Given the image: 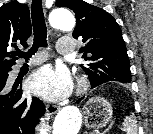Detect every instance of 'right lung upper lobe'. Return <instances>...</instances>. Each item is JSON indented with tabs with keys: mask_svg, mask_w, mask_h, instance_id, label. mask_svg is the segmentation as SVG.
Returning a JSON list of instances; mask_svg holds the SVG:
<instances>
[{
	"mask_svg": "<svg viewBox=\"0 0 153 134\" xmlns=\"http://www.w3.org/2000/svg\"><path fill=\"white\" fill-rule=\"evenodd\" d=\"M31 35L29 8L25 4L12 1L0 7V71L11 68L16 57L7 52L17 44L27 46Z\"/></svg>",
	"mask_w": 153,
	"mask_h": 134,
	"instance_id": "right-lung-upper-lobe-1",
	"label": "right lung upper lobe"
}]
</instances>
